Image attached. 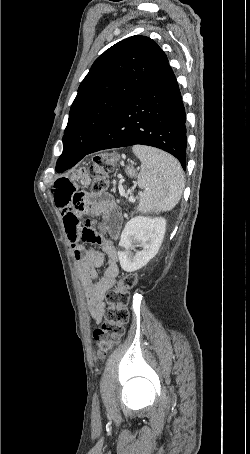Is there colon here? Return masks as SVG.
Masks as SVG:
<instances>
[{"label":"colon","instance_id":"1","mask_svg":"<svg viewBox=\"0 0 250 454\" xmlns=\"http://www.w3.org/2000/svg\"><path fill=\"white\" fill-rule=\"evenodd\" d=\"M116 153H99L93 156L90 167L92 176L91 189L93 194L99 195L108 188V175L117 163ZM137 282L135 274H125L118 280L117 286L106 294L108 308L105 321L97 328L93 337L97 344L99 356H105L119 342L129 319L127 306L130 301V292Z\"/></svg>","mask_w":250,"mask_h":454}]
</instances>
